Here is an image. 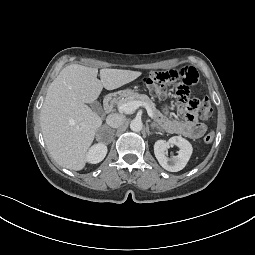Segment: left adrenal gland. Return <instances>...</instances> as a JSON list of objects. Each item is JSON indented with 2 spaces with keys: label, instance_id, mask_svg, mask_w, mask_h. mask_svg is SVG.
Here are the masks:
<instances>
[{
  "label": "left adrenal gland",
  "instance_id": "a2214340",
  "mask_svg": "<svg viewBox=\"0 0 255 255\" xmlns=\"http://www.w3.org/2000/svg\"><path fill=\"white\" fill-rule=\"evenodd\" d=\"M155 127H158V125L155 124V123H152V124H151V128L154 129ZM155 133H157V132H155Z\"/></svg>",
  "mask_w": 255,
  "mask_h": 255
}]
</instances>
